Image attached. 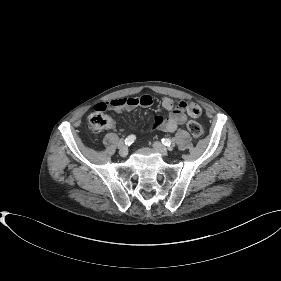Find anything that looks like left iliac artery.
<instances>
[{
	"label": "left iliac artery",
	"mask_w": 281,
	"mask_h": 281,
	"mask_svg": "<svg viewBox=\"0 0 281 281\" xmlns=\"http://www.w3.org/2000/svg\"><path fill=\"white\" fill-rule=\"evenodd\" d=\"M161 141L165 146H168V147L173 146V141L168 138H163Z\"/></svg>",
	"instance_id": "obj_1"
}]
</instances>
